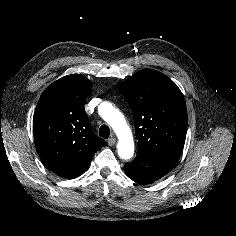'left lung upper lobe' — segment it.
<instances>
[{
    "instance_id": "left-lung-upper-lobe-1",
    "label": "left lung upper lobe",
    "mask_w": 236,
    "mask_h": 236,
    "mask_svg": "<svg viewBox=\"0 0 236 236\" xmlns=\"http://www.w3.org/2000/svg\"><path fill=\"white\" fill-rule=\"evenodd\" d=\"M133 112L137 152L177 163L187 132V109L178 86L144 69L119 85Z\"/></svg>"
}]
</instances>
